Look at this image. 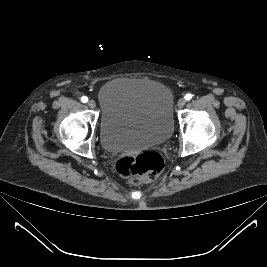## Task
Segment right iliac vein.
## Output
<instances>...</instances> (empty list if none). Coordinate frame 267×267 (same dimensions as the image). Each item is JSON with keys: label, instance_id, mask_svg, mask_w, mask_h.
<instances>
[{"label": "right iliac vein", "instance_id": "right-iliac-vein-1", "mask_svg": "<svg viewBox=\"0 0 267 267\" xmlns=\"http://www.w3.org/2000/svg\"><path fill=\"white\" fill-rule=\"evenodd\" d=\"M88 106L90 107V108H92V109H94L95 107H96V103H95V101L94 100H89L88 101Z\"/></svg>", "mask_w": 267, "mask_h": 267}]
</instances>
